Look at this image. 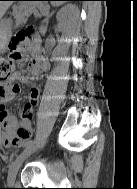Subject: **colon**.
Segmentation results:
<instances>
[{
    "mask_svg": "<svg viewBox=\"0 0 137 189\" xmlns=\"http://www.w3.org/2000/svg\"><path fill=\"white\" fill-rule=\"evenodd\" d=\"M34 38L32 29H23L16 33L8 45V56L0 57V85L4 84L12 74L13 64L21 59V46ZM28 112H32V107L27 105ZM21 134V132H20Z\"/></svg>",
    "mask_w": 137,
    "mask_h": 189,
    "instance_id": "colon-1",
    "label": "colon"
}]
</instances>
